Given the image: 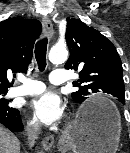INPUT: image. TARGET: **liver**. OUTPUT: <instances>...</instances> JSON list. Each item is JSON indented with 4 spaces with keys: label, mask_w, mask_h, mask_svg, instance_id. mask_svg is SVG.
Returning <instances> with one entry per match:
<instances>
[{
    "label": "liver",
    "mask_w": 130,
    "mask_h": 153,
    "mask_svg": "<svg viewBox=\"0 0 130 153\" xmlns=\"http://www.w3.org/2000/svg\"><path fill=\"white\" fill-rule=\"evenodd\" d=\"M0 153H20V141L0 124Z\"/></svg>",
    "instance_id": "6515ba94"
}]
</instances>
